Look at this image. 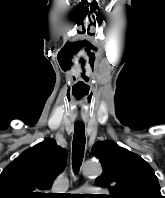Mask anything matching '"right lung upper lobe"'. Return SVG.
<instances>
[{"instance_id": "cb5924a9", "label": "right lung upper lobe", "mask_w": 165, "mask_h": 198, "mask_svg": "<svg viewBox=\"0 0 165 198\" xmlns=\"http://www.w3.org/2000/svg\"><path fill=\"white\" fill-rule=\"evenodd\" d=\"M66 150L48 138L27 149L0 174V198H50L53 180L64 169Z\"/></svg>"}]
</instances>
